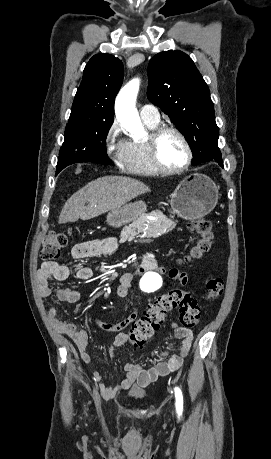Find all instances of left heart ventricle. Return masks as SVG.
I'll use <instances>...</instances> for the list:
<instances>
[{
    "instance_id": "obj_1",
    "label": "left heart ventricle",
    "mask_w": 271,
    "mask_h": 459,
    "mask_svg": "<svg viewBox=\"0 0 271 459\" xmlns=\"http://www.w3.org/2000/svg\"><path fill=\"white\" fill-rule=\"evenodd\" d=\"M160 155L169 166L182 165L188 157L187 147L176 133H166L160 141Z\"/></svg>"
}]
</instances>
